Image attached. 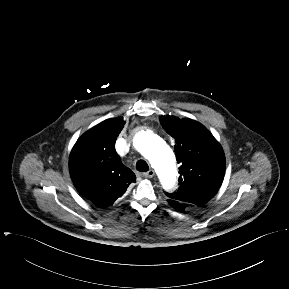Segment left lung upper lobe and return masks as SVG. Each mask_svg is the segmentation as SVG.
<instances>
[{
	"mask_svg": "<svg viewBox=\"0 0 289 289\" xmlns=\"http://www.w3.org/2000/svg\"><path fill=\"white\" fill-rule=\"evenodd\" d=\"M164 130L175 139L179 188L170 199L203 206L219 189L225 172L224 152L213 135L191 119L161 116Z\"/></svg>",
	"mask_w": 289,
	"mask_h": 289,
	"instance_id": "1",
	"label": "left lung upper lobe"
}]
</instances>
